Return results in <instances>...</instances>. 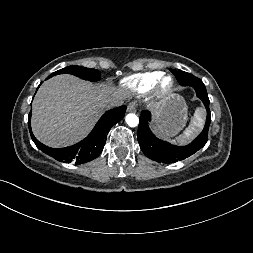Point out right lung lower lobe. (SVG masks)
<instances>
[{"label":"right lung lower lobe","instance_id":"obj_1","mask_svg":"<svg viewBox=\"0 0 253 253\" xmlns=\"http://www.w3.org/2000/svg\"><path fill=\"white\" fill-rule=\"evenodd\" d=\"M50 77L52 76L48 78ZM125 111L126 106L107 111L100 118L88 137L73 146L61 149L47 147L34 137L30 127L31 112L28 117V125L32 140L42 152L61 162L82 164L95 159L102 152L106 142V135L111 127L124 117Z\"/></svg>","mask_w":253,"mask_h":253}]
</instances>
